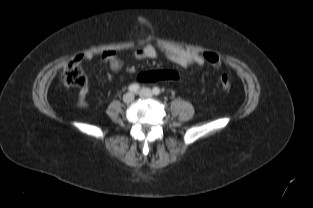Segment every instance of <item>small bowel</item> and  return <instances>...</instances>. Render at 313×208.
I'll return each instance as SVG.
<instances>
[{
    "instance_id": "c3829d8e",
    "label": "small bowel",
    "mask_w": 313,
    "mask_h": 208,
    "mask_svg": "<svg viewBox=\"0 0 313 208\" xmlns=\"http://www.w3.org/2000/svg\"><path fill=\"white\" fill-rule=\"evenodd\" d=\"M163 55L171 62L177 64L182 68H189L194 65L201 66L205 63L202 55L191 53L180 49H171L165 47H158L155 45H144L134 52V58L137 60L154 59ZM93 59V54L87 53L79 56L77 61H89ZM102 63L109 64L112 71L116 72L122 67V60L117 56L115 51H105L100 55ZM89 91L87 84H84L78 93V104L81 107H87L86 96Z\"/></svg>"
}]
</instances>
